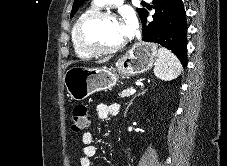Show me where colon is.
<instances>
[{
	"mask_svg": "<svg viewBox=\"0 0 227 166\" xmlns=\"http://www.w3.org/2000/svg\"><path fill=\"white\" fill-rule=\"evenodd\" d=\"M90 122V115L87 106L84 104L76 105L71 112V129L74 132L84 131Z\"/></svg>",
	"mask_w": 227,
	"mask_h": 166,
	"instance_id": "obj_1",
	"label": "colon"
}]
</instances>
